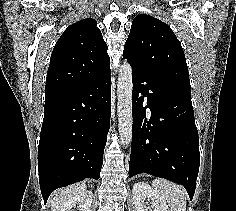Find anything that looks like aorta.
<instances>
[{
	"instance_id": "aorta-1",
	"label": "aorta",
	"mask_w": 236,
	"mask_h": 211,
	"mask_svg": "<svg viewBox=\"0 0 236 211\" xmlns=\"http://www.w3.org/2000/svg\"><path fill=\"white\" fill-rule=\"evenodd\" d=\"M132 90V67L126 61L119 69L117 84L118 129L123 147L132 141Z\"/></svg>"
}]
</instances>
